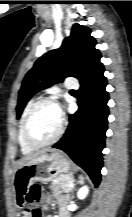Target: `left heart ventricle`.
<instances>
[{"label":"left heart ventricle","mask_w":132,"mask_h":217,"mask_svg":"<svg viewBox=\"0 0 132 217\" xmlns=\"http://www.w3.org/2000/svg\"><path fill=\"white\" fill-rule=\"evenodd\" d=\"M60 125V113L53 105L42 106L33 116L29 125V135L37 143L52 139Z\"/></svg>","instance_id":"1"}]
</instances>
